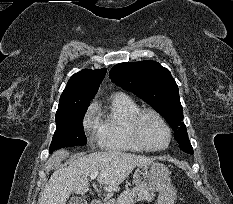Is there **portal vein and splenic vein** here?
Returning <instances> with one entry per match:
<instances>
[{
  "label": "portal vein and splenic vein",
  "instance_id": "18ae733b",
  "mask_svg": "<svg viewBox=\"0 0 233 204\" xmlns=\"http://www.w3.org/2000/svg\"><path fill=\"white\" fill-rule=\"evenodd\" d=\"M97 176H98V171H95L90 175V179L94 180V179H96Z\"/></svg>",
  "mask_w": 233,
  "mask_h": 204
}]
</instances>
